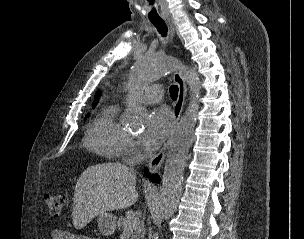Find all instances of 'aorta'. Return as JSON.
Masks as SVG:
<instances>
[{"label": "aorta", "instance_id": "obj_1", "mask_svg": "<svg viewBox=\"0 0 304 239\" xmlns=\"http://www.w3.org/2000/svg\"><path fill=\"white\" fill-rule=\"evenodd\" d=\"M176 67V60L170 56L139 57L134 64L128 85L131 89H137L172 73ZM182 71L184 80L190 87L191 98L172 137L165 161L159 204L161 217L165 220L174 214L181 197L184 166L199 109L200 81L197 72L187 66H182ZM145 116V113L133 104L126 110V118L131 122L142 123Z\"/></svg>", "mask_w": 304, "mask_h": 239}]
</instances>
